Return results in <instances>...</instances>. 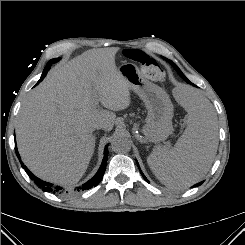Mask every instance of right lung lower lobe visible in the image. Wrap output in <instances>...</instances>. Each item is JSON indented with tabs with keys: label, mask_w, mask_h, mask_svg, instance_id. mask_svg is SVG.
Masks as SVG:
<instances>
[{
	"label": "right lung lower lobe",
	"mask_w": 245,
	"mask_h": 245,
	"mask_svg": "<svg viewBox=\"0 0 245 245\" xmlns=\"http://www.w3.org/2000/svg\"><path fill=\"white\" fill-rule=\"evenodd\" d=\"M51 65H52V62L49 61L47 63V65H46V67H45L42 75H41L40 80L37 82V84L44 79V77L46 76L47 72L49 71ZM15 151H16V155L20 159V155H19V153L17 151L16 145H15ZM107 158H108V145L105 146V149H104V158H103L102 164H101L98 172L96 173V175L92 179H90L88 182L84 183L82 185V187L77 188V191L90 189L91 187L97 186L99 184V182L103 178V175H104V172H105V169H106ZM22 167L25 169V171L27 172V174L34 180V182L37 185H39L40 187H42L44 191H52L54 193H59V192L61 193L62 187H60V186H53L51 183H48V182H45V181L40 180L35 175H33L25 165L22 164Z\"/></svg>",
	"instance_id": "right-lung-lower-lobe-1"
}]
</instances>
